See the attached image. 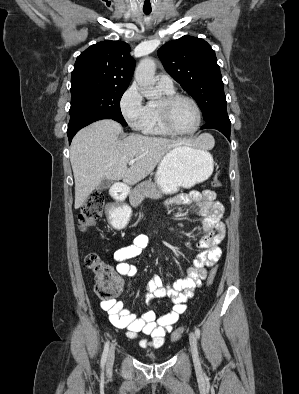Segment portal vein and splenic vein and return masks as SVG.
<instances>
[{"label": "portal vein and splenic vein", "instance_id": "18ae733b", "mask_svg": "<svg viewBox=\"0 0 299 394\" xmlns=\"http://www.w3.org/2000/svg\"><path fill=\"white\" fill-rule=\"evenodd\" d=\"M137 159H131L128 163L129 165H133L136 162Z\"/></svg>", "mask_w": 299, "mask_h": 394}]
</instances>
